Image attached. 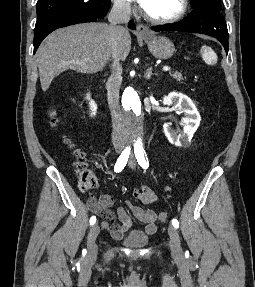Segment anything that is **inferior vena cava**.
I'll return each instance as SVG.
<instances>
[{"label":"inferior vena cava","mask_w":255,"mask_h":287,"mask_svg":"<svg viewBox=\"0 0 255 287\" xmlns=\"http://www.w3.org/2000/svg\"><path fill=\"white\" fill-rule=\"evenodd\" d=\"M131 16V6L123 0H115L114 6L108 16L110 22V54H111V76L108 78L106 90L108 92V104L112 118V142L114 147H125L128 142V130L121 124V112L119 106V90L122 84L121 52L119 48L120 38L126 30L119 24H128Z\"/></svg>","instance_id":"602c4592"}]
</instances>
